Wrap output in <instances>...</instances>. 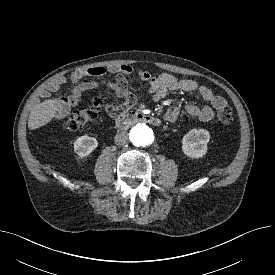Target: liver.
I'll return each instance as SVG.
<instances>
[{
  "instance_id": "obj_1",
  "label": "liver",
  "mask_w": 275,
  "mask_h": 275,
  "mask_svg": "<svg viewBox=\"0 0 275 275\" xmlns=\"http://www.w3.org/2000/svg\"><path fill=\"white\" fill-rule=\"evenodd\" d=\"M63 108V102L57 99L46 100L37 105L29 115V129H37L48 124Z\"/></svg>"
}]
</instances>
